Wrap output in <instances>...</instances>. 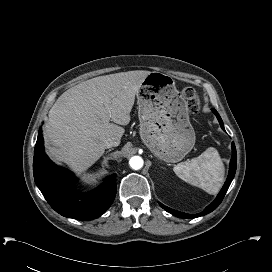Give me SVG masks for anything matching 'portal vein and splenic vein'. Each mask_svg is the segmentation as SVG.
Segmentation results:
<instances>
[{"label":"portal vein and splenic vein","mask_w":272,"mask_h":272,"mask_svg":"<svg viewBox=\"0 0 272 272\" xmlns=\"http://www.w3.org/2000/svg\"><path fill=\"white\" fill-rule=\"evenodd\" d=\"M105 104L108 105L109 104V100H105Z\"/></svg>","instance_id":"18ae733b"}]
</instances>
